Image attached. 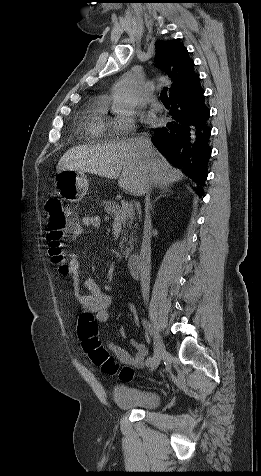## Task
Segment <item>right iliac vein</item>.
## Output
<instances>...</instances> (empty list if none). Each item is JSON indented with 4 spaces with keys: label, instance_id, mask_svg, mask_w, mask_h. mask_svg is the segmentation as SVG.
Wrapping results in <instances>:
<instances>
[{
    "label": "right iliac vein",
    "instance_id": "1",
    "mask_svg": "<svg viewBox=\"0 0 261 476\" xmlns=\"http://www.w3.org/2000/svg\"><path fill=\"white\" fill-rule=\"evenodd\" d=\"M152 334L154 335V356L152 357L150 364L151 371L155 370L159 366L161 359L166 353L165 346L160 336L155 332Z\"/></svg>",
    "mask_w": 261,
    "mask_h": 476
}]
</instances>
